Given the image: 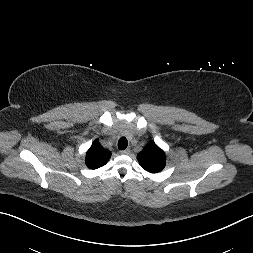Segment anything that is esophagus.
<instances>
[{
    "label": "esophagus",
    "instance_id": "obj_1",
    "mask_svg": "<svg viewBox=\"0 0 253 253\" xmlns=\"http://www.w3.org/2000/svg\"><path fill=\"white\" fill-rule=\"evenodd\" d=\"M120 154L128 155V154H130V149L121 150Z\"/></svg>",
    "mask_w": 253,
    "mask_h": 253
}]
</instances>
